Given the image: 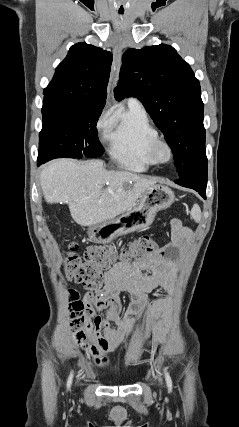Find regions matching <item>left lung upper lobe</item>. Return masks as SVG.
Here are the masks:
<instances>
[{
	"instance_id": "left-lung-upper-lobe-1",
	"label": "left lung upper lobe",
	"mask_w": 239,
	"mask_h": 427,
	"mask_svg": "<svg viewBox=\"0 0 239 427\" xmlns=\"http://www.w3.org/2000/svg\"><path fill=\"white\" fill-rule=\"evenodd\" d=\"M117 100L137 97L164 133L178 177L207 162L204 104L189 64L169 45L128 49L122 57Z\"/></svg>"
}]
</instances>
